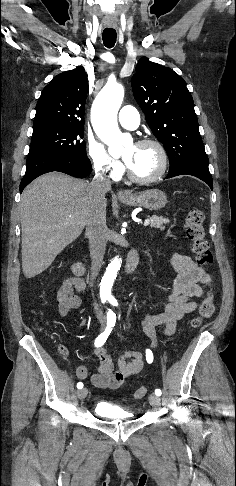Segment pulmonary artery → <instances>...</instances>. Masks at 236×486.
Here are the masks:
<instances>
[{"instance_id": "obj_1", "label": "pulmonary artery", "mask_w": 236, "mask_h": 486, "mask_svg": "<svg viewBox=\"0 0 236 486\" xmlns=\"http://www.w3.org/2000/svg\"><path fill=\"white\" fill-rule=\"evenodd\" d=\"M118 121L122 127L134 130L139 126L140 116L133 106L127 105L121 108Z\"/></svg>"}]
</instances>
